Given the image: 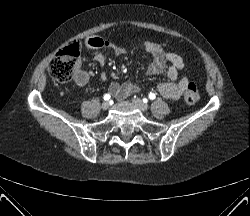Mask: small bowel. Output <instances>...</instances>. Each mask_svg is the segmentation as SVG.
Listing matches in <instances>:
<instances>
[{
	"mask_svg": "<svg viewBox=\"0 0 250 216\" xmlns=\"http://www.w3.org/2000/svg\"><path fill=\"white\" fill-rule=\"evenodd\" d=\"M86 45L90 49H99L101 47H111L116 54H124L125 49L112 44L111 42L102 39L101 37H90ZM142 48L153 56V60L148 67L149 74H158L165 70L166 65L169 64L167 69V76L169 81H164L158 84L157 90L161 96L168 99H179L185 92L189 85V80L184 73V61L178 54L166 51L161 45L145 41L142 43ZM95 60L103 65L105 63V57L99 53L95 56ZM102 79H107V75L103 73ZM90 79V74L87 71H78L74 76V83L78 86H84ZM110 92L118 99H125L129 95L139 91V87L132 83L127 82L119 84L112 82L109 87Z\"/></svg>",
	"mask_w": 250,
	"mask_h": 216,
	"instance_id": "1",
	"label": "small bowel"
}]
</instances>
